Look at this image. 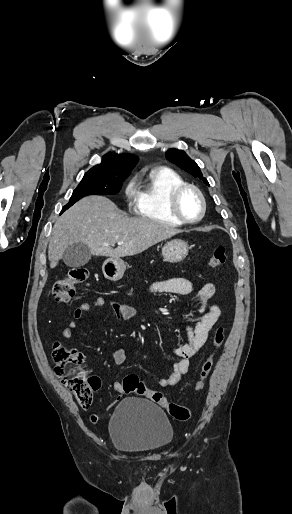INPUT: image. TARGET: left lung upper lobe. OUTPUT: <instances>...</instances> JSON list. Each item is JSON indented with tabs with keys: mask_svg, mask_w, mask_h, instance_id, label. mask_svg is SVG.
Returning <instances> with one entry per match:
<instances>
[{
	"mask_svg": "<svg viewBox=\"0 0 292 514\" xmlns=\"http://www.w3.org/2000/svg\"><path fill=\"white\" fill-rule=\"evenodd\" d=\"M165 157L170 162L174 163L194 177L202 179L206 185L210 186L207 179L203 177L196 162L193 161L184 151L172 148L166 152Z\"/></svg>",
	"mask_w": 292,
	"mask_h": 514,
	"instance_id": "5c2ea615",
	"label": "left lung upper lobe"
}]
</instances>
